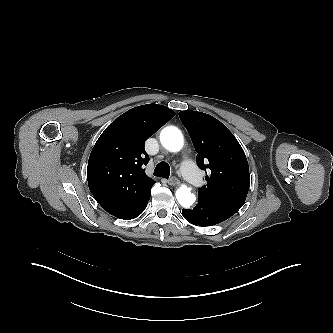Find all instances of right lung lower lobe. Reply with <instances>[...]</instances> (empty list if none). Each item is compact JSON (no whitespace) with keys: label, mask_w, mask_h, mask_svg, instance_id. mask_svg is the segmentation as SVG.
Wrapping results in <instances>:
<instances>
[{"label":"right lung lower lobe","mask_w":333,"mask_h":333,"mask_svg":"<svg viewBox=\"0 0 333 333\" xmlns=\"http://www.w3.org/2000/svg\"><path fill=\"white\" fill-rule=\"evenodd\" d=\"M150 193L144 196L124 217L121 219H134L139 216L146 208L150 199Z\"/></svg>","instance_id":"98d812e1"}]
</instances>
